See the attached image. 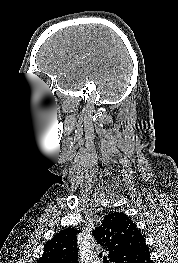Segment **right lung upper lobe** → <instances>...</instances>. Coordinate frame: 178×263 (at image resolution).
<instances>
[{
	"label": "right lung upper lobe",
	"instance_id": "1",
	"mask_svg": "<svg viewBox=\"0 0 178 263\" xmlns=\"http://www.w3.org/2000/svg\"><path fill=\"white\" fill-rule=\"evenodd\" d=\"M74 228L57 233L44 248L38 263H78L76 233ZM97 243L107 247L111 263H136L149 250L144 236L136 224L122 212H112L92 231ZM99 256H102L100 253Z\"/></svg>",
	"mask_w": 178,
	"mask_h": 263
}]
</instances>
